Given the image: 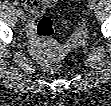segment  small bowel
<instances>
[{"label":"small bowel","instance_id":"small-bowel-1","mask_svg":"<svg viewBox=\"0 0 111 106\" xmlns=\"http://www.w3.org/2000/svg\"><path fill=\"white\" fill-rule=\"evenodd\" d=\"M57 1L55 0H27L25 1V7L30 13L31 21L28 26V34L32 36L34 34V25L32 23V18L39 15L43 11L53 7Z\"/></svg>","mask_w":111,"mask_h":106}]
</instances>
